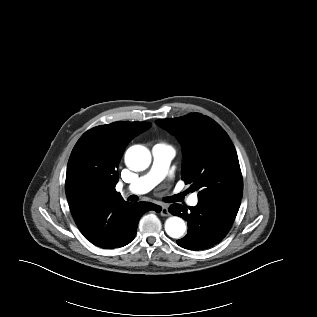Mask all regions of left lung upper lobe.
<instances>
[{"instance_id":"5c2ea615","label":"left lung upper lobe","mask_w":317,"mask_h":317,"mask_svg":"<svg viewBox=\"0 0 317 317\" xmlns=\"http://www.w3.org/2000/svg\"><path fill=\"white\" fill-rule=\"evenodd\" d=\"M182 144V179L199 198L243 196V179L235 147L213 119L200 113L157 120Z\"/></svg>"}]
</instances>
